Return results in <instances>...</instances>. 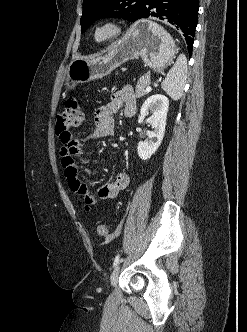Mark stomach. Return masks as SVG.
<instances>
[{
    "label": "stomach",
    "instance_id": "1",
    "mask_svg": "<svg viewBox=\"0 0 247 332\" xmlns=\"http://www.w3.org/2000/svg\"><path fill=\"white\" fill-rule=\"evenodd\" d=\"M176 46L172 37L157 23L139 20L104 56L73 59L67 68L65 87L103 78L123 63L141 57L145 66L161 73L174 59Z\"/></svg>",
    "mask_w": 247,
    "mask_h": 332
}]
</instances>
